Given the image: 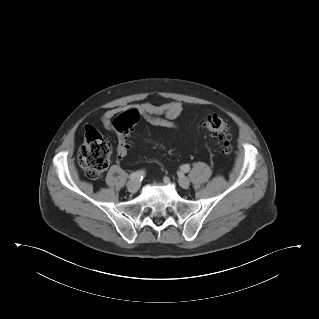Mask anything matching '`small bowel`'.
Segmentation results:
<instances>
[{
    "label": "small bowel",
    "mask_w": 319,
    "mask_h": 319,
    "mask_svg": "<svg viewBox=\"0 0 319 319\" xmlns=\"http://www.w3.org/2000/svg\"><path fill=\"white\" fill-rule=\"evenodd\" d=\"M143 118L151 125L167 129L178 130L179 126L174 120L182 114L184 107L180 102L171 101L160 105L151 102H143L136 106ZM117 110L111 109L106 111L102 116V124L105 129L113 131L112 118L116 115ZM129 149L128 140L124 141L118 138L117 152L120 156L127 154Z\"/></svg>",
    "instance_id": "small-bowel-1"
}]
</instances>
